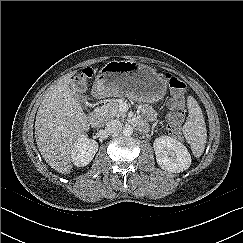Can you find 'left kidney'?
<instances>
[{
    "mask_svg": "<svg viewBox=\"0 0 243 243\" xmlns=\"http://www.w3.org/2000/svg\"><path fill=\"white\" fill-rule=\"evenodd\" d=\"M154 150L158 165L172 173H180L191 165V155L187 148L176 139L161 136L154 141Z\"/></svg>",
    "mask_w": 243,
    "mask_h": 243,
    "instance_id": "left-kidney-1",
    "label": "left kidney"
}]
</instances>
